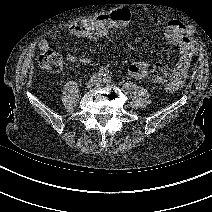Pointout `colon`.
<instances>
[{
	"mask_svg": "<svg viewBox=\"0 0 212 212\" xmlns=\"http://www.w3.org/2000/svg\"><path fill=\"white\" fill-rule=\"evenodd\" d=\"M39 65L51 72H59L62 70L64 62L60 53L54 50H47L38 57ZM152 82L161 85H167L171 82L170 71L168 67L162 63L153 65L149 73Z\"/></svg>",
	"mask_w": 212,
	"mask_h": 212,
	"instance_id": "1",
	"label": "colon"
}]
</instances>
